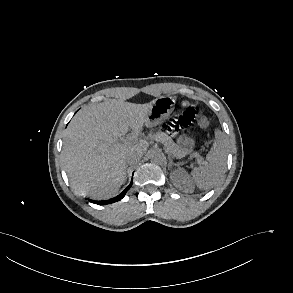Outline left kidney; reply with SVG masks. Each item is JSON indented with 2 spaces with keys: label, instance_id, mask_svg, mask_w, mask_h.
Instances as JSON below:
<instances>
[{
  "label": "left kidney",
  "instance_id": "obj_1",
  "mask_svg": "<svg viewBox=\"0 0 293 293\" xmlns=\"http://www.w3.org/2000/svg\"><path fill=\"white\" fill-rule=\"evenodd\" d=\"M170 178L173 185L180 190H193V184L183 169L175 170L173 173H171Z\"/></svg>",
  "mask_w": 293,
  "mask_h": 293
}]
</instances>
